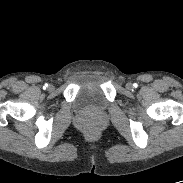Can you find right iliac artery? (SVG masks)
Masks as SVG:
<instances>
[{
  "instance_id": "82829eb1",
  "label": "right iliac artery",
  "mask_w": 183,
  "mask_h": 183,
  "mask_svg": "<svg viewBox=\"0 0 183 183\" xmlns=\"http://www.w3.org/2000/svg\"><path fill=\"white\" fill-rule=\"evenodd\" d=\"M46 87H48V84H45V85H44V89H45Z\"/></svg>"
}]
</instances>
